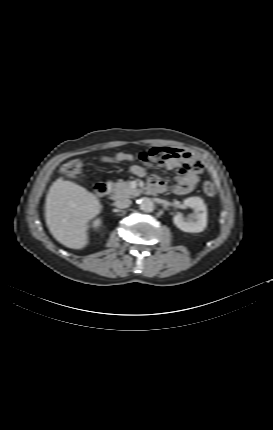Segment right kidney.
Here are the masks:
<instances>
[{
	"instance_id": "right-kidney-1",
	"label": "right kidney",
	"mask_w": 273,
	"mask_h": 430,
	"mask_svg": "<svg viewBox=\"0 0 273 430\" xmlns=\"http://www.w3.org/2000/svg\"><path fill=\"white\" fill-rule=\"evenodd\" d=\"M100 224H101L100 219H97V220H95V221H94L93 226H94V227H99V226H100Z\"/></svg>"
}]
</instances>
